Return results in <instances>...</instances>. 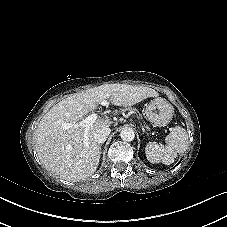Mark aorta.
Segmentation results:
<instances>
[{
    "instance_id": "aorta-1",
    "label": "aorta",
    "mask_w": 227,
    "mask_h": 227,
    "mask_svg": "<svg viewBox=\"0 0 227 227\" xmlns=\"http://www.w3.org/2000/svg\"><path fill=\"white\" fill-rule=\"evenodd\" d=\"M121 139L123 141H132L135 137L134 131L132 128H124L120 132Z\"/></svg>"
}]
</instances>
